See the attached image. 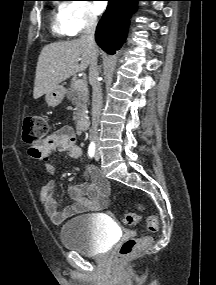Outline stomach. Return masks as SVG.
<instances>
[{
  "label": "stomach",
  "instance_id": "obj_1",
  "mask_svg": "<svg viewBox=\"0 0 216 285\" xmlns=\"http://www.w3.org/2000/svg\"><path fill=\"white\" fill-rule=\"evenodd\" d=\"M65 96V88L62 85H58L50 92L46 93L45 99L48 106L55 107L59 105Z\"/></svg>",
  "mask_w": 216,
  "mask_h": 285
}]
</instances>
